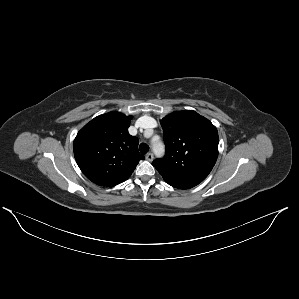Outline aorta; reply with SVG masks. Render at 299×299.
Wrapping results in <instances>:
<instances>
[{"label":"aorta","instance_id":"aorta-1","mask_svg":"<svg viewBox=\"0 0 299 299\" xmlns=\"http://www.w3.org/2000/svg\"><path fill=\"white\" fill-rule=\"evenodd\" d=\"M153 151L156 156L160 157L164 153V145L161 142L155 143L153 145Z\"/></svg>","mask_w":299,"mask_h":299}]
</instances>
